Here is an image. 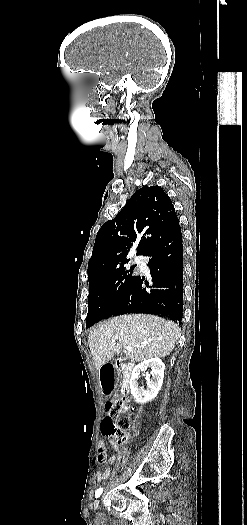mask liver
I'll use <instances>...</instances> for the list:
<instances>
[{"label": "liver", "mask_w": 247, "mask_h": 525, "mask_svg": "<svg viewBox=\"0 0 247 525\" xmlns=\"http://www.w3.org/2000/svg\"><path fill=\"white\" fill-rule=\"evenodd\" d=\"M180 329L173 321L156 315H120L97 325L88 335L89 349L96 369L120 355L123 347L126 359L143 363L155 357H167L172 353Z\"/></svg>", "instance_id": "6515ba94"}]
</instances>
